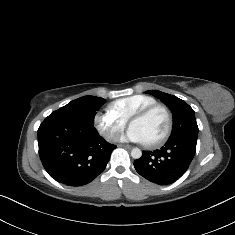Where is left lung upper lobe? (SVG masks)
I'll use <instances>...</instances> for the list:
<instances>
[{"label": "left lung upper lobe", "mask_w": 235, "mask_h": 235, "mask_svg": "<svg viewBox=\"0 0 235 235\" xmlns=\"http://www.w3.org/2000/svg\"><path fill=\"white\" fill-rule=\"evenodd\" d=\"M152 94L165 102L173 114V128L169 139L188 137L197 140L198 126L194 110L182 99L158 90H149Z\"/></svg>", "instance_id": "1"}]
</instances>
